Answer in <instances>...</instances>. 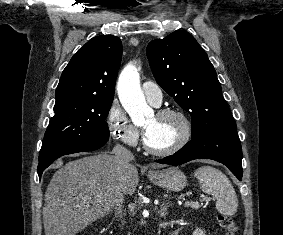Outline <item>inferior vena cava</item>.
<instances>
[{
	"mask_svg": "<svg viewBox=\"0 0 283 235\" xmlns=\"http://www.w3.org/2000/svg\"><path fill=\"white\" fill-rule=\"evenodd\" d=\"M114 161L116 162L118 166V171L121 174V180L123 181L125 178L124 169H126L129 166L130 161L134 160V155L130 150H128L126 147L117 144L113 150H112ZM125 187L121 185L116 190V196H115V205L118 208L119 212L122 213V204L124 202V196H125Z\"/></svg>",
	"mask_w": 283,
	"mask_h": 235,
	"instance_id": "1",
	"label": "inferior vena cava"
}]
</instances>
